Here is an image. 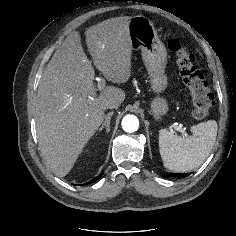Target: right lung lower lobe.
I'll return each instance as SVG.
<instances>
[{
  "instance_id": "right-lung-lower-lobe-1",
  "label": "right lung lower lobe",
  "mask_w": 236,
  "mask_h": 236,
  "mask_svg": "<svg viewBox=\"0 0 236 236\" xmlns=\"http://www.w3.org/2000/svg\"><path fill=\"white\" fill-rule=\"evenodd\" d=\"M99 178H100V176H99V177H96V178H93V179L89 182V184L92 183V182H94V181H96V180H98Z\"/></svg>"
}]
</instances>
